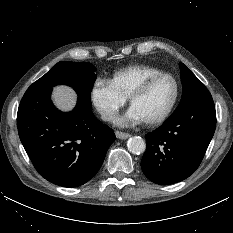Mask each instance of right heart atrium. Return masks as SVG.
<instances>
[{
  "instance_id": "1",
  "label": "right heart atrium",
  "mask_w": 233,
  "mask_h": 233,
  "mask_svg": "<svg viewBox=\"0 0 233 233\" xmlns=\"http://www.w3.org/2000/svg\"><path fill=\"white\" fill-rule=\"evenodd\" d=\"M90 97L100 116L108 122H114L126 98L116 89L111 80L97 78L92 85Z\"/></svg>"
}]
</instances>
